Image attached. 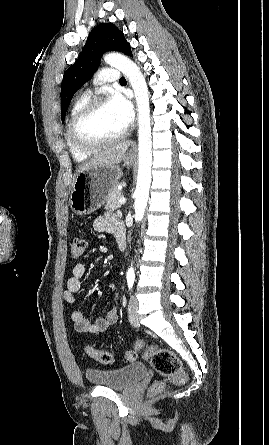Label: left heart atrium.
<instances>
[{"label": "left heart atrium", "mask_w": 269, "mask_h": 445, "mask_svg": "<svg viewBox=\"0 0 269 445\" xmlns=\"http://www.w3.org/2000/svg\"><path fill=\"white\" fill-rule=\"evenodd\" d=\"M108 105L116 113L120 121L125 127H128L134 119V110L132 103L120 93H113L109 100Z\"/></svg>", "instance_id": "obj_1"}]
</instances>
